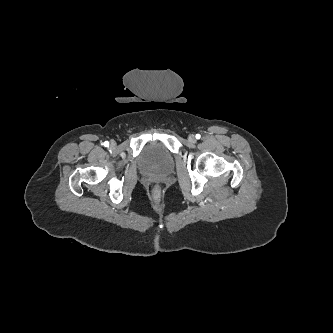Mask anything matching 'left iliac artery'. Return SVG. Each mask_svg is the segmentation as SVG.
I'll return each mask as SVG.
<instances>
[{"mask_svg": "<svg viewBox=\"0 0 333 333\" xmlns=\"http://www.w3.org/2000/svg\"><path fill=\"white\" fill-rule=\"evenodd\" d=\"M201 135L200 134H196V139H200Z\"/></svg>", "mask_w": 333, "mask_h": 333, "instance_id": "obj_1", "label": "left iliac artery"}]
</instances>
